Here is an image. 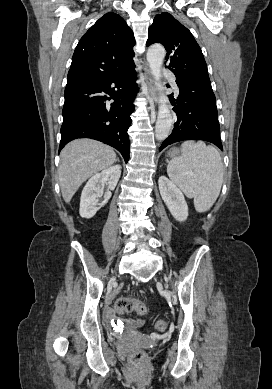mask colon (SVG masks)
I'll use <instances>...</instances> for the list:
<instances>
[{
  "label": "colon",
  "instance_id": "1",
  "mask_svg": "<svg viewBox=\"0 0 272 389\" xmlns=\"http://www.w3.org/2000/svg\"><path fill=\"white\" fill-rule=\"evenodd\" d=\"M115 311L119 315L136 313L138 315H144L147 311V307L144 302L133 297H121L115 302ZM155 327L159 331H164L167 324L164 320H158ZM130 362L135 366H142L146 362V354L143 350H134L129 355Z\"/></svg>",
  "mask_w": 272,
  "mask_h": 389
}]
</instances>
